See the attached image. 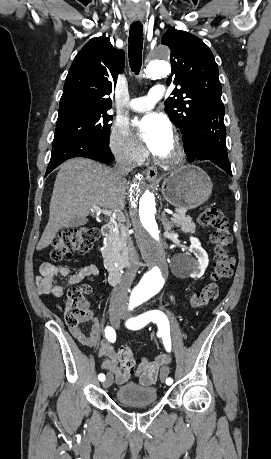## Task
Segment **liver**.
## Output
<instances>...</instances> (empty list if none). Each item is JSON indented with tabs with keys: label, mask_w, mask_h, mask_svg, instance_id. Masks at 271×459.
<instances>
[{
	"label": "liver",
	"mask_w": 271,
	"mask_h": 459,
	"mask_svg": "<svg viewBox=\"0 0 271 459\" xmlns=\"http://www.w3.org/2000/svg\"><path fill=\"white\" fill-rule=\"evenodd\" d=\"M126 180L113 168L88 158H72L60 166L49 208V222L37 249L47 247L62 226L86 218L91 208L124 210Z\"/></svg>",
	"instance_id": "1"
}]
</instances>
